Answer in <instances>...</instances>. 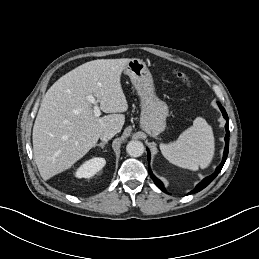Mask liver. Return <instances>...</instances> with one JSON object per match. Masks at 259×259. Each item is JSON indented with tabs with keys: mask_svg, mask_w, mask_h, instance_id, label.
I'll list each match as a JSON object with an SVG mask.
<instances>
[{
	"mask_svg": "<svg viewBox=\"0 0 259 259\" xmlns=\"http://www.w3.org/2000/svg\"><path fill=\"white\" fill-rule=\"evenodd\" d=\"M130 59H98L58 79L42 99L34 127L33 154L41 177L69 169L94 147L105 130L121 132L128 103L121 74ZM93 95L104 113L96 117L86 97Z\"/></svg>",
	"mask_w": 259,
	"mask_h": 259,
	"instance_id": "obj_1",
	"label": "liver"
}]
</instances>
